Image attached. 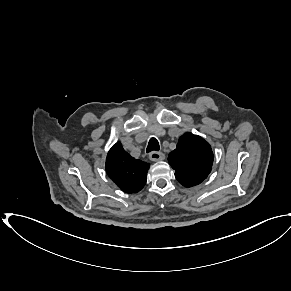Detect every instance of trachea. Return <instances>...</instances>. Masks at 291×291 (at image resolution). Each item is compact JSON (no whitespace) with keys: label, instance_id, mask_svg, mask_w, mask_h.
I'll use <instances>...</instances> for the list:
<instances>
[{"label":"trachea","instance_id":"3493384b","mask_svg":"<svg viewBox=\"0 0 291 291\" xmlns=\"http://www.w3.org/2000/svg\"><path fill=\"white\" fill-rule=\"evenodd\" d=\"M159 143L157 141L156 138L152 137L150 140H149V143H148V146H147V153L151 152V151H159Z\"/></svg>","mask_w":291,"mask_h":291}]
</instances>
